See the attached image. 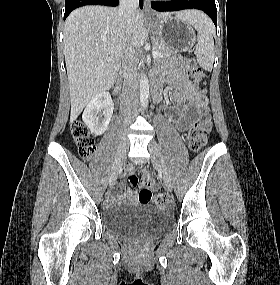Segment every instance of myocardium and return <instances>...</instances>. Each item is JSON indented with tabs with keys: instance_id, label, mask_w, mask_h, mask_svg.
I'll return each instance as SVG.
<instances>
[{
	"instance_id": "myocardium-1",
	"label": "myocardium",
	"mask_w": 280,
	"mask_h": 285,
	"mask_svg": "<svg viewBox=\"0 0 280 285\" xmlns=\"http://www.w3.org/2000/svg\"><path fill=\"white\" fill-rule=\"evenodd\" d=\"M156 1H168V0H156Z\"/></svg>"
}]
</instances>
